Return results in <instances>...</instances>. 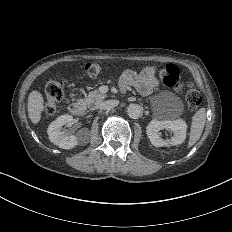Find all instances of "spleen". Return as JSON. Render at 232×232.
Listing matches in <instances>:
<instances>
[{"label": "spleen", "mask_w": 232, "mask_h": 232, "mask_svg": "<svg viewBox=\"0 0 232 232\" xmlns=\"http://www.w3.org/2000/svg\"><path fill=\"white\" fill-rule=\"evenodd\" d=\"M205 120H206V111L205 109H200L199 111L196 112V114L193 117L189 146L195 144V142H197L201 137L205 125Z\"/></svg>", "instance_id": "spleen-1"}]
</instances>
